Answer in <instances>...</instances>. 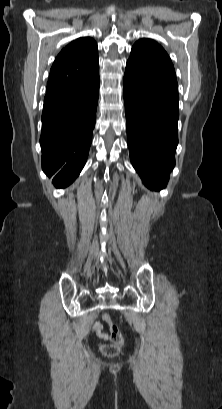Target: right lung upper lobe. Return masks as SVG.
<instances>
[{
  "label": "right lung upper lobe",
  "instance_id": "cb5924a9",
  "mask_svg": "<svg viewBox=\"0 0 222 409\" xmlns=\"http://www.w3.org/2000/svg\"><path fill=\"white\" fill-rule=\"evenodd\" d=\"M99 70L98 48L90 37L78 38L56 57L45 97H58L82 90L86 77Z\"/></svg>",
  "mask_w": 222,
  "mask_h": 409
}]
</instances>
